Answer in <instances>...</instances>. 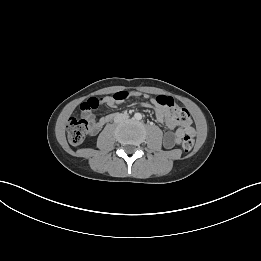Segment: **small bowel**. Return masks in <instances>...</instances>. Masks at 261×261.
<instances>
[{"mask_svg":"<svg viewBox=\"0 0 261 261\" xmlns=\"http://www.w3.org/2000/svg\"><path fill=\"white\" fill-rule=\"evenodd\" d=\"M106 103L108 106L113 107L114 101L111 98H107ZM144 106L152 108L155 111L156 118L159 122L164 123L168 128L174 129L178 126V122L173 118L172 111L173 108L169 106H163L159 104L156 98H151L150 103H145ZM112 115H107L102 117L98 121H95L90 115L91 120L90 134L95 135L106 123L111 121ZM195 133L194 128L191 126L190 122L184 123L179 126L175 132L166 133L163 138V145L167 149L173 148L175 145L179 144L182 139L187 136H193Z\"/></svg>","mask_w":261,"mask_h":261,"instance_id":"obj_1","label":"small bowel"}]
</instances>
